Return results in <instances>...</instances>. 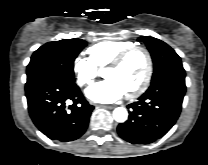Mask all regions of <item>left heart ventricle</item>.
Returning a JSON list of instances; mask_svg holds the SVG:
<instances>
[{
    "mask_svg": "<svg viewBox=\"0 0 208 165\" xmlns=\"http://www.w3.org/2000/svg\"><path fill=\"white\" fill-rule=\"evenodd\" d=\"M147 68L145 55L140 52L131 54L121 66L107 68L105 77L115 79L125 93L136 88L143 80Z\"/></svg>",
    "mask_w": 208,
    "mask_h": 165,
    "instance_id": "1",
    "label": "left heart ventricle"
}]
</instances>
